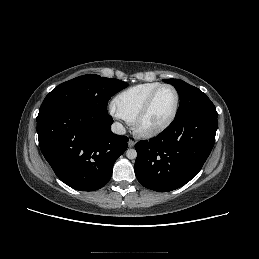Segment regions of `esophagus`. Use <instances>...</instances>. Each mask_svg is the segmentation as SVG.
I'll return each instance as SVG.
<instances>
[{"instance_id": "34e87169", "label": "esophagus", "mask_w": 259, "mask_h": 259, "mask_svg": "<svg viewBox=\"0 0 259 259\" xmlns=\"http://www.w3.org/2000/svg\"><path fill=\"white\" fill-rule=\"evenodd\" d=\"M134 145H135V142L130 139V140L128 141V146H129V147H133Z\"/></svg>"}]
</instances>
